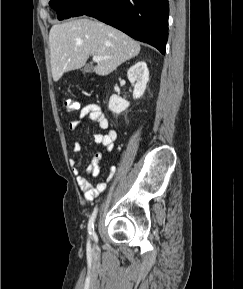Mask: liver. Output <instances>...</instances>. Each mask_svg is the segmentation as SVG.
Here are the masks:
<instances>
[{"label":"liver","mask_w":243,"mask_h":289,"mask_svg":"<svg viewBox=\"0 0 243 289\" xmlns=\"http://www.w3.org/2000/svg\"><path fill=\"white\" fill-rule=\"evenodd\" d=\"M49 48L55 82L65 72L83 67L91 55L108 57L93 69L97 75L106 76L137 56L141 49L137 41L122 31L88 18L53 25L49 33Z\"/></svg>","instance_id":"obj_1"}]
</instances>
